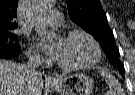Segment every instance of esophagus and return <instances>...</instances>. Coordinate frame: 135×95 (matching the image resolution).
Wrapping results in <instances>:
<instances>
[{"label": "esophagus", "instance_id": "1", "mask_svg": "<svg viewBox=\"0 0 135 95\" xmlns=\"http://www.w3.org/2000/svg\"><path fill=\"white\" fill-rule=\"evenodd\" d=\"M46 80H47L48 82H55L57 79H56L55 76L49 75V76L46 78Z\"/></svg>", "mask_w": 135, "mask_h": 95}]
</instances>
